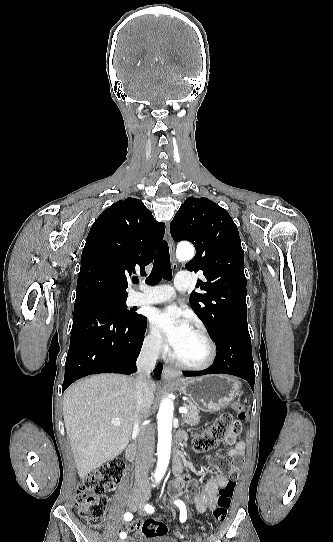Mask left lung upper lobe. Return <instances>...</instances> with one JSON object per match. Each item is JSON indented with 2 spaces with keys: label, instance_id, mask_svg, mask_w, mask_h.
Listing matches in <instances>:
<instances>
[{
  "label": "left lung upper lobe",
  "instance_id": "5c2ea615",
  "mask_svg": "<svg viewBox=\"0 0 333 542\" xmlns=\"http://www.w3.org/2000/svg\"><path fill=\"white\" fill-rule=\"evenodd\" d=\"M172 238L188 240L196 249L186 264L189 271H203L190 305L217 341L232 325L247 326L244 251L236 224L222 207L207 198L189 197L170 223Z\"/></svg>",
  "mask_w": 333,
  "mask_h": 542
}]
</instances>
